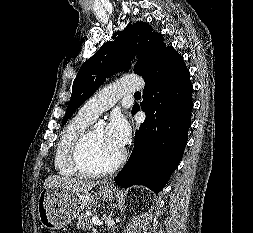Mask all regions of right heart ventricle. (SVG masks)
<instances>
[{"label": "right heart ventricle", "instance_id": "1", "mask_svg": "<svg viewBox=\"0 0 253 233\" xmlns=\"http://www.w3.org/2000/svg\"><path fill=\"white\" fill-rule=\"evenodd\" d=\"M93 118L80 112L75 115L62 130L54 154V168L63 176L80 175L71 165L72 148L79 137L87 130Z\"/></svg>", "mask_w": 253, "mask_h": 233}]
</instances>
